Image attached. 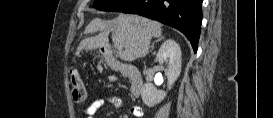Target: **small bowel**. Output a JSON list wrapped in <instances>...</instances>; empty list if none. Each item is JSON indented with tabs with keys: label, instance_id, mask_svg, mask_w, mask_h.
Segmentation results:
<instances>
[{
	"label": "small bowel",
	"instance_id": "1",
	"mask_svg": "<svg viewBox=\"0 0 273 118\" xmlns=\"http://www.w3.org/2000/svg\"><path fill=\"white\" fill-rule=\"evenodd\" d=\"M123 104V100L115 95L102 93L93 97L87 106L83 110V115L86 118H92L95 113L104 106H112L115 108H120ZM130 113L135 117L142 116V109L139 106H132L130 108Z\"/></svg>",
	"mask_w": 273,
	"mask_h": 118
}]
</instances>
